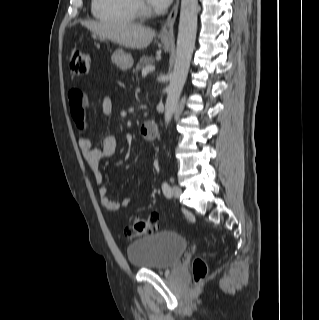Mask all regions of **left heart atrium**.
I'll list each match as a JSON object with an SVG mask.
<instances>
[{
    "instance_id": "obj_1",
    "label": "left heart atrium",
    "mask_w": 319,
    "mask_h": 320,
    "mask_svg": "<svg viewBox=\"0 0 319 320\" xmlns=\"http://www.w3.org/2000/svg\"><path fill=\"white\" fill-rule=\"evenodd\" d=\"M172 0H148L149 4L155 8L163 9L170 5Z\"/></svg>"
}]
</instances>
